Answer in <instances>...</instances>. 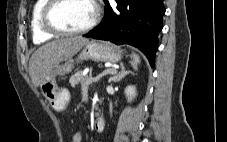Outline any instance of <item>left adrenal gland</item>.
<instances>
[{
  "label": "left adrenal gland",
  "instance_id": "a2214340",
  "mask_svg": "<svg viewBox=\"0 0 227 142\" xmlns=\"http://www.w3.org/2000/svg\"><path fill=\"white\" fill-rule=\"evenodd\" d=\"M130 73H132L131 71H127L126 69H125V66H124V64L123 63H121L120 64V72L119 73H117L115 76H113L112 78H111V80L113 81V82H119L120 80H122L125 76H127L128 74H130Z\"/></svg>",
  "mask_w": 227,
  "mask_h": 142
}]
</instances>
